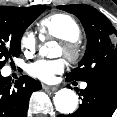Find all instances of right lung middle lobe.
I'll return each instance as SVG.
<instances>
[{"label": "right lung middle lobe", "mask_w": 117, "mask_h": 117, "mask_svg": "<svg viewBox=\"0 0 117 117\" xmlns=\"http://www.w3.org/2000/svg\"><path fill=\"white\" fill-rule=\"evenodd\" d=\"M46 6H0V69L7 60L18 57L21 38L27 27L45 11Z\"/></svg>", "instance_id": "1"}]
</instances>
